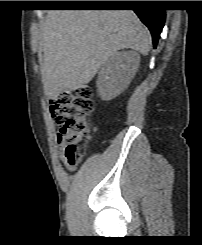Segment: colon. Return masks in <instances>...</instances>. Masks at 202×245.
<instances>
[{
  "mask_svg": "<svg viewBox=\"0 0 202 245\" xmlns=\"http://www.w3.org/2000/svg\"><path fill=\"white\" fill-rule=\"evenodd\" d=\"M93 110V91L89 87L64 92L55 101L53 112L58 135L66 143L64 157L71 166H75L85 153L92 131Z\"/></svg>",
  "mask_w": 202,
  "mask_h": 245,
  "instance_id": "5ec220e1",
  "label": "colon"
}]
</instances>
